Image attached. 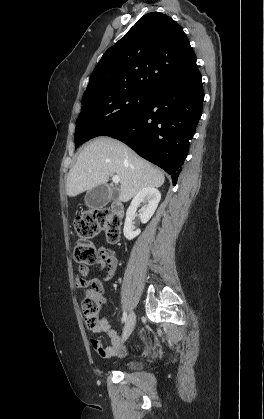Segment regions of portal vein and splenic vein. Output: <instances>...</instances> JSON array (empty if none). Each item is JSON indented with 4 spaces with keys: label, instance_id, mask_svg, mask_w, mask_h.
<instances>
[{
    "label": "portal vein and splenic vein",
    "instance_id": "1",
    "mask_svg": "<svg viewBox=\"0 0 264 419\" xmlns=\"http://www.w3.org/2000/svg\"><path fill=\"white\" fill-rule=\"evenodd\" d=\"M112 181H113V183L118 184V183L120 182V177H119V176H117V175H114V176L112 177Z\"/></svg>",
    "mask_w": 264,
    "mask_h": 419
}]
</instances>
